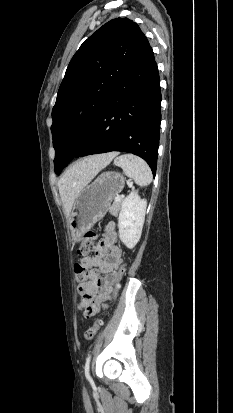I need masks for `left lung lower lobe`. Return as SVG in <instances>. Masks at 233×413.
Listing matches in <instances>:
<instances>
[{
	"label": "left lung lower lobe",
	"mask_w": 233,
	"mask_h": 413,
	"mask_svg": "<svg viewBox=\"0 0 233 413\" xmlns=\"http://www.w3.org/2000/svg\"><path fill=\"white\" fill-rule=\"evenodd\" d=\"M161 121L157 64L144 39L76 157L123 151L143 158L156 174Z\"/></svg>",
	"instance_id": "obj_1"
}]
</instances>
